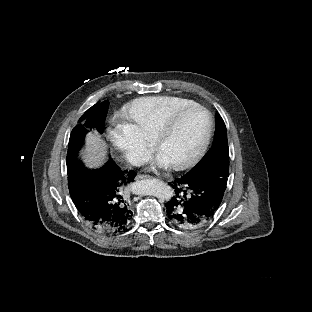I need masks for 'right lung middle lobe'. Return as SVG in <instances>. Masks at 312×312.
I'll use <instances>...</instances> for the list:
<instances>
[{
    "instance_id": "obj_1",
    "label": "right lung middle lobe",
    "mask_w": 312,
    "mask_h": 312,
    "mask_svg": "<svg viewBox=\"0 0 312 312\" xmlns=\"http://www.w3.org/2000/svg\"><path fill=\"white\" fill-rule=\"evenodd\" d=\"M108 106L109 101L92 106L81 116L80 123L72 130L66 157L68 175L80 163L78 153L83 145L85 135L88 133V128H95L99 133H103Z\"/></svg>"
}]
</instances>
